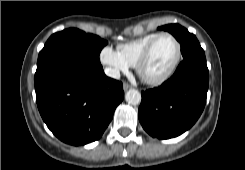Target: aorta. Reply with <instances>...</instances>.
<instances>
[{
	"mask_svg": "<svg viewBox=\"0 0 245 170\" xmlns=\"http://www.w3.org/2000/svg\"><path fill=\"white\" fill-rule=\"evenodd\" d=\"M125 99L131 105H138L141 102V94L135 89H130L126 92Z\"/></svg>",
	"mask_w": 245,
	"mask_h": 170,
	"instance_id": "1",
	"label": "aorta"
}]
</instances>
